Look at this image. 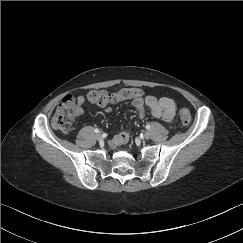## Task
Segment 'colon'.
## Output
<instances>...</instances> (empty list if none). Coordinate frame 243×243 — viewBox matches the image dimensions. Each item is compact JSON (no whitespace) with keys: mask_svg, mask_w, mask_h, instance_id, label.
<instances>
[{"mask_svg":"<svg viewBox=\"0 0 243 243\" xmlns=\"http://www.w3.org/2000/svg\"><path fill=\"white\" fill-rule=\"evenodd\" d=\"M142 95L143 93L140 89L125 88L113 93L104 90L92 91L87 98L92 103L104 104L119 102L130 98H140ZM78 107L79 105L74 97H65L52 117V127L62 133H69L73 127L74 117L78 113ZM180 120L182 125H190L191 115L188 109L182 108L180 110Z\"/></svg>","mask_w":243,"mask_h":243,"instance_id":"1","label":"colon"}]
</instances>
